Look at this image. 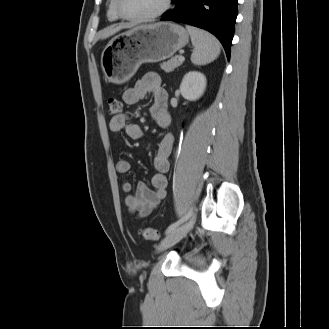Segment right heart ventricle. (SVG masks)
Instances as JSON below:
<instances>
[{"label": "right heart ventricle", "instance_id": "right-heart-ventricle-1", "mask_svg": "<svg viewBox=\"0 0 329 329\" xmlns=\"http://www.w3.org/2000/svg\"><path fill=\"white\" fill-rule=\"evenodd\" d=\"M107 14H108V18L112 21H116L120 19V16L116 11V0L109 1Z\"/></svg>", "mask_w": 329, "mask_h": 329}]
</instances>
